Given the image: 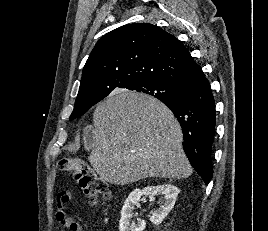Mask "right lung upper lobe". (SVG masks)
<instances>
[{
    "instance_id": "obj_1",
    "label": "right lung upper lobe",
    "mask_w": 268,
    "mask_h": 231,
    "mask_svg": "<svg viewBox=\"0 0 268 231\" xmlns=\"http://www.w3.org/2000/svg\"><path fill=\"white\" fill-rule=\"evenodd\" d=\"M203 75L175 36L153 24H127L95 45L83 68L75 104L98 103L113 90L146 82L178 88Z\"/></svg>"
}]
</instances>
